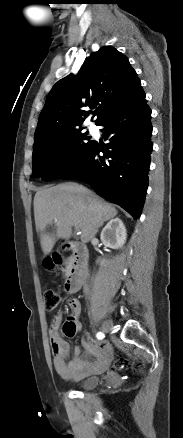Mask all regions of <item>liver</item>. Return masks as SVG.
<instances>
[{"instance_id": "liver-1", "label": "liver", "mask_w": 183, "mask_h": 438, "mask_svg": "<svg viewBox=\"0 0 183 438\" xmlns=\"http://www.w3.org/2000/svg\"><path fill=\"white\" fill-rule=\"evenodd\" d=\"M117 210L94 192L77 183H64L40 189L34 197V216L41 232L43 253L49 254L57 238L68 240L72 227L81 231V240L89 242L105 221L114 218ZM55 224L56 237L44 232L47 225Z\"/></svg>"}]
</instances>
